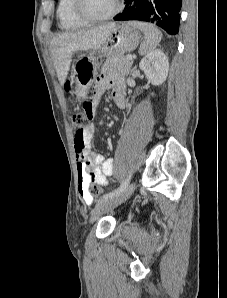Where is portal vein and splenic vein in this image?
<instances>
[{
	"label": "portal vein and splenic vein",
	"instance_id": "18ae733b",
	"mask_svg": "<svg viewBox=\"0 0 227 298\" xmlns=\"http://www.w3.org/2000/svg\"><path fill=\"white\" fill-rule=\"evenodd\" d=\"M127 59H128V60H133V57H132L131 55H128V56H127Z\"/></svg>",
	"mask_w": 227,
	"mask_h": 298
}]
</instances>
